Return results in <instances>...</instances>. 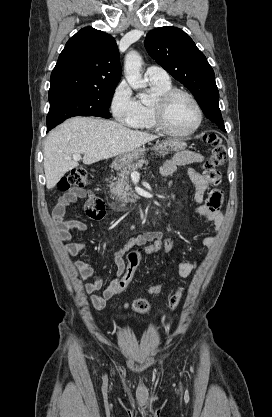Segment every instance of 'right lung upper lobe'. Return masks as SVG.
Segmentation results:
<instances>
[{"instance_id": "cb5924a9", "label": "right lung upper lobe", "mask_w": 272, "mask_h": 417, "mask_svg": "<svg viewBox=\"0 0 272 417\" xmlns=\"http://www.w3.org/2000/svg\"><path fill=\"white\" fill-rule=\"evenodd\" d=\"M121 78L115 39L92 27L71 37L51 74L49 93L64 90H108Z\"/></svg>"}]
</instances>
